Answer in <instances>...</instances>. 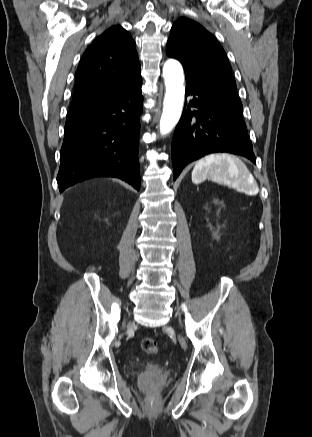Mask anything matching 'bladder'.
Wrapping results in <instances>:
<instances>
[{"mask_svg":"<svg viewBox=\"0 0 312 437\" xmlns=\"http://www.w3.org/2000/svg\"><path fill=\"white\" fill-rule=\"evenodd\" d=\"M157 369H158V367L156 365H148V366H146L145 371L147 373H154L157 371Z\"/></svg>","mask_w":312,"mask_h":437,"instance_id":"31cf9c89","label":"bladder"}]
</instances>
